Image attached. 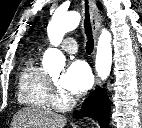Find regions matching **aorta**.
I'll use <instances>...</instances> for the list:
<instances>
[{
	"label": "aorta",
	"instance_id": "1",
	"mask_svg": "<svg viewBox=\"0 0 142 128\" xmlns=\"http://www.w3.org/2000/svg\"><path fill=\"white\" fill-rule=\"evenodd\" d=\"M80 20L81 16L76 11L56 10L47 27V34L51 44L58 46L67 32L78 27ZM111 40L110 32L103 29L98 40L95 61L98 76L103 80L109 76L111 71ZM42 64L48 72L61 70L65 65V57L58 49H49L44 53Z\"/></svg>",
	"mask_w": 142,
	"mask_h": 128
}]
</instances>
